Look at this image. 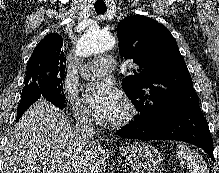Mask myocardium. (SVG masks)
<instances>
[{"label": "myocardium", "mask_w": 219, "mask_h": 173, "mask_svg": "<svg viewBox=\"0 0 219 173\" xmlns=\"http://www.w3.org/2000/svg\"><path fill=\"white\" fill-rule=\"evenodd\" d=\"M124 113L118 118L110 119L108 124L113 128H123L131 124L138 115V108L133 100L124 96L122 98Z\"/></svg>", "instance_id": "f54148a6"}]
</instances>
